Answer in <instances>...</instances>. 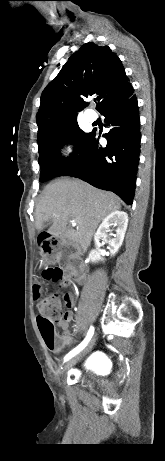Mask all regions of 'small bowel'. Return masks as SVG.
Segmentation results:
<instances>
[{"mask_svg": "<svg viewBox=\"0 0 165 461\" xmlns=\"http://www.w3.org/2000/svg\"><path fill=\"white\" fill-rule=\"evenodd\" d=\"M81 256H63L62 260H58V267L61 268L63 278L70 280L71 278H78L81 280L82 271H88L89 264L81 263ZM63 307L64 309H73L75 305V298L71 291H63ZM73 321V313L71 311L65 312L62 318L57 319L55 323L62 328L63 333L58 337V342L54 349V352H60L63 348L73 343V336L70 331V324Z\"/></svg>", "mask_w": 165, "mask_h": 461, "instance_id": "obj_1", "label": "small bowel"}]
</instances>
